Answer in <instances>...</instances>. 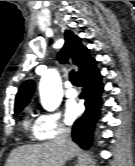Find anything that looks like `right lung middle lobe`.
<instances>
[{
	"label": "right lung middle lobe",
	"instance_id": "1",
	"mask_svg": "<svg viewBox=\"0 0 135 166\" xmlns=\"http://www.w3.org/2000/svg\"><path fill=\"white\" fill-rule=\"evenodd\" d=\"M24 107H25V106H22V107H19V108L15 109L14 116L18 115V114L22 111V109H23Z\"/></svg>",
	"mask_w": 135,
	"mask_h": 166
}]
</instances>
